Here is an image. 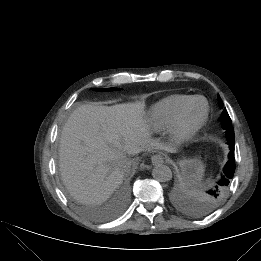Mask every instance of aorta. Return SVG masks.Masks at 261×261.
I'll return each mask as SVG.
<instances>
[{
	"instance_id": "aorta-1",
	"label": "aorta",
	"mask_w": 261,
	"mask_h": 261,
	"mask_svg": "<svg viewBox=\"0 0 261 261\" xmlns=\"http://www.w3.org/2000/svg\"><path fill=\"white\" fill-rule=\"evenodd\" d=\"M152 176L159 182H168L172 178V171L167 165L159 164L153 168Z\"/></svg>"
}]
</instances>
